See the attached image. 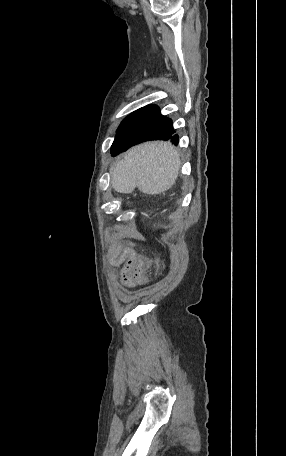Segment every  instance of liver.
Returning <instances> with one entry per match:
<instances>
[{
  "label": "liver",
  "mask_w": 286,
  "mask_h": 456,
  "mask_svg": "<svg viewBox=\"0 0 286 456\" xmlns=\"http://www.w3.org/2000/svg\"><path fill=\"white\" fill-rule=\"evenodd\" d=\"M180 170L178 151L169 142H147L127 151L111 172V183L119 193H132L136 187L156 195L169 190Z\"/></svg>",
  "instance_id": "liver-1"
}]
</instances>
